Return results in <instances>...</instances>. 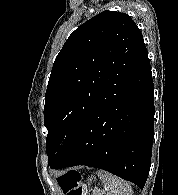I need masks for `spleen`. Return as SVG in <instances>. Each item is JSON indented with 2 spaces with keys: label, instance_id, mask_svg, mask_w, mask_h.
<instances>
[{
  "label": "spleen",
  "instance_id": "obj_1",
  "mask_svg": "<svg viewBox=\"0 0 178 195\" xmlns=\"http://www.w3.org/2000/svg\"><path fill=\"white\" fill-rule=\"evenodd\" d=\"M97 175L100 178L107 195H132V188L129 183L108 172L98 170Z\"/></svg>",
  "mask_w": 178,
  "mask_h": 195
}]
</instances>
